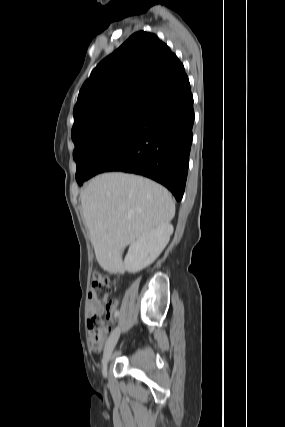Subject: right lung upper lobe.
Returning <instances> with one entry per match:
<instances>
[{"mask_svg":"<svg viewBox=\"0 0 285 427\" xmlns=\"http://www.w3.org/2000/svg\"><path fill=\"white\" fill-rule=\"evenodd\" d=\"M183 74V64L155 34L134 33L83 84L71 133L124 107L144 105L155 91Z\"/></svg>","mask_w":285,"mask_h":427,"instance_id":"obj_1","label":"right lung upper lobe"}]
</instances>
